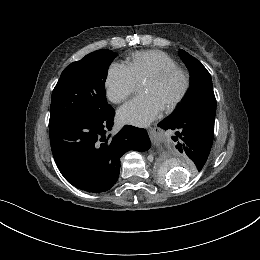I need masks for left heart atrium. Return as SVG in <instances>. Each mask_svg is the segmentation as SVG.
Returning a JSON list of instances; mask_svg holds the SVG:
<instances>
[{
	"instance_id": "obj_1",
	"label": "left heart atrium",
	"mask_w": 260,
	"mask_h": 260,
	"mask_svg": "<svg viewBox=\"0 0 260 260\" xmlns=\"http://www.w3.org/2000/svg\"><path fill=\"white\" fill-rule=\"evenodd\" d=\"M164 105L152 94L133 98L123 105L118 115L122 122L134 125H146L157 118Z\"/></svg>"
}]
</instances>
